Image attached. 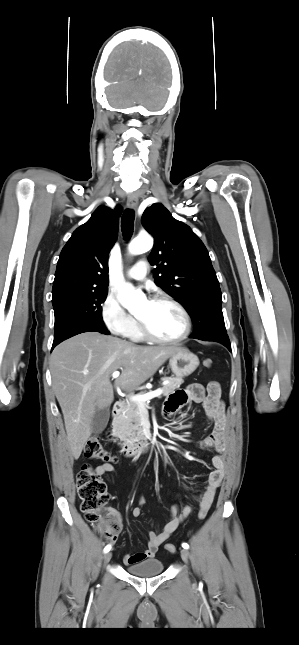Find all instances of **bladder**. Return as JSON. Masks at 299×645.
Returning a JSON list of instances; mask_svg holds the SVG:
<instances>
[{
  "instance_id": "1",
  "label": "bladder",
  "mask_w": 299,
  "mask_h": 645,
  "mask_svg": "<svg viewBox=\"0 0 299 645\" xmlns=\"http://www.w3.org/2000/svg\"><path fill=\"white\" fill-rule=\"evenodd\" d=\"M163 569V562L157 558L147 559L127 567V571L130 574L140 577L158 575L163 571Z\"/></svg>"
}]
</instances>
